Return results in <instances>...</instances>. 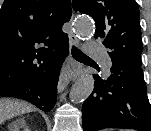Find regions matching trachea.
I'll return each instance as SVG.
<instances>
[{
    "label": "trachea",
    "instance_id": "obj_1",
    "mask_svg": "<svg viewBox=\"0 0 151 131\" xmlns=\"http://www.w3.org/2000/svg\"><path fill=\"white\" fill-rule=\"evenodd\" d=\"M71 53L75 58H89L75 46L72 47Z\"/></svg>",
    "mask_w": 151,
    "mask_h": 131
}]
</instances>
